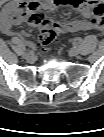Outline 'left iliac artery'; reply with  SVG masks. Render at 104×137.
Here are the masks:
<instances>
[{
	"label": "left iliac artery",
	"instance_id": "obj_1",
	"mask_svg": "<svg viewBox=\"0 0 104 137\" xmlns=\"http://www.w3.org/2000/svg\"><path fill=\"white\" fill-rule=\"evenodd\" d=\"M79 41H80V39H79V38H77V39L75 40V42H76V43H79Z\"/></svg>",
	"mask_w": 104,
	"mask_h": 137
}]
</instances>
